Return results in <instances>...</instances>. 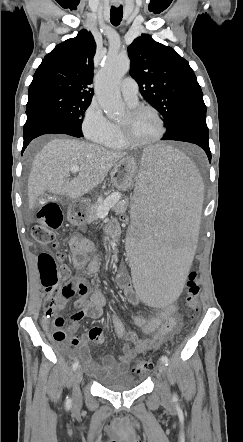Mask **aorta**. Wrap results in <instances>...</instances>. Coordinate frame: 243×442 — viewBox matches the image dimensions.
Masks as SVG:
<instances>
[{"mask_svg":"<svg viewBox=\"0 0 243 442\" xmlns=\"http://www.w3.org/2000/svg\"><path fill=\"white\" fill-rule=\"evenodd\" d=\"M129 68L130 61L126 56L109 55L96 75L97 101L110 119L116 118L124 112L125 105L120 95L119 82L129 71Z\"/></svg>","mask_w":243,"mask_h":442,"instance_id":"aorta-1","label":"aorta"}]
</instances>
